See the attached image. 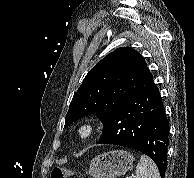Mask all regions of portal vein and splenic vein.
<instances>
[{"instance_id": "1", "label": "portal vein and splenic vein", "mask_w": 194, "mask_h": 178, "mask_svg": "<svg viewBox=\"0 0 194 178\" xmlns=\"http://www.w3.org/2000/svg\"><path fill=\"white\" fill-rule=\"evenodd\" d=\"M126 178H133L132 176H127Z\"/></svg>"}]
</instances>
